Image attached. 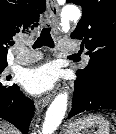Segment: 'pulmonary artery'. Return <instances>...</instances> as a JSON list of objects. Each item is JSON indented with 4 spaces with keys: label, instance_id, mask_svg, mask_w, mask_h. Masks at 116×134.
Instances as JSON below:
<instances>
[{
    "label": "pulmonary artery",
    "instance_id": "e3ab8cb5",
    "mask_svg": "<svg viewBox=\"0 0 116 134\" xmlns=\"http://www.w3.org/2000/svg\"><path fill=\"white\" fill-rule=\"evenodd\" d=\"M15 50L17 51V54L13 62L17 65L30 64L40 60L42 57L40 53H28L20 42L15 45ZM59 50L64 53H74L79 50V44L71 40H61L59 42ZM84 59L85 61H88L89 56L84 55Z\"/></svg>",
    "mask_w": 116,
    "mask_h": 134
}]
</instances>
